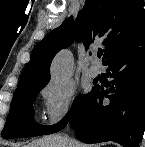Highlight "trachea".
<instances>
[{"label": "trachea", "mask_w": 145, "mask_h": 147, "mask_svg": "<svg viewBox=\"0 0 145 147\" xmlns=\"http://www.w3.org/2000/svg\"><path fill=\"white\" fill-rule=\"evenodd\" d=\"M102 54H103V51L99 50L98 53H97L98 58H101Z\"/></svg>", "instance_id": "obj_1"}]
</instances>
